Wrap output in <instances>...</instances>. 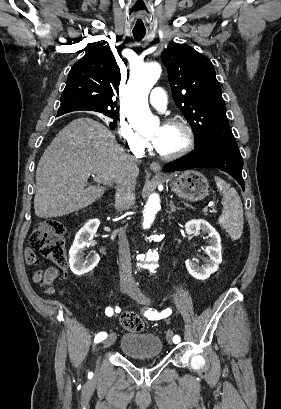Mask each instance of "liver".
<instances>
[{
  "instance_id": "1",
  "label": "liver",
  "mask_w": 281,
  "mask_h": 409,
  "mask_svg": "<svg viewBox=\"0 0 281 409\" xmlns=\"http://www.w3.org/2000/svg\"><path fill=\"white\" fill-rule=\"evenodd\" d=\"M131 154L118 144L114 134L93 118H75L64 126L46 150L36 170L34 211L41 219L63 217L85 209L103 196L107 186H100L102 176L122 182L138 176ZM96 174L99 184L88 186Z\"/></svg>"
}]
</instances>
